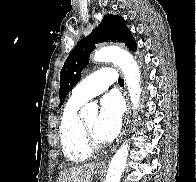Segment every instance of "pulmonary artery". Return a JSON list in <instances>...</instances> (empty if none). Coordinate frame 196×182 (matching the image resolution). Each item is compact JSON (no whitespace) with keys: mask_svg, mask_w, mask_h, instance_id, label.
<instances>
[{"mask_svg":"<svg viewBox=\"0 0 196 182\" xmlns=\"http://www.w3.org/2000/svg\"><path fill=\"white\" fill-rule=\"evenodd\" d=\"M117 80L110 67H102L81 81L72 91V97L85 102L108 89Z\"/></svg>","mask_w":196,"mask_h":182,"instance_id":"1","label":"pulmonary artery"}]
</instances>
